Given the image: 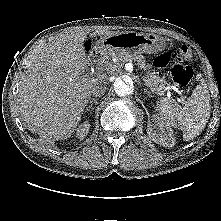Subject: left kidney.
<instances>
[{"instance_id":"5707ae66","label":"left kidney","mask_w":221,"mask_h":221,"mask_svg":"<svg viewBox=\"0 0 221 221\" xmlns=\"http://www.w3.org/2000/svg\"><path fill=\"white\" fill-rule=\"evenodd\" d=\"M148 135L152 141L164 147L175 144L173 130L160 118H154L153 123L148 124Z\"/></svg>"}]
</instances>
